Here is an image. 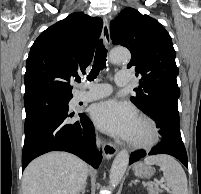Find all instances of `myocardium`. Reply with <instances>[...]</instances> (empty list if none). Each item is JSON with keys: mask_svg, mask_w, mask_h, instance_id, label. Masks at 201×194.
<instances>
[{"mask_svg": "<svg viewBox=\"0 0 201 194\" xmlns=\"http://www.w3.org/2000/svg\"><path fill=\"white\" fill-rule=\"evenodd\" d=\"M138 121L143 124L148 131V138L143 141L130 140L129 145L133 149L148 150L154 147L159 141V130L155 122L144 115L138 117Z\"/></svg>", "mask_w": 201, "mask_h": 194, "instance_id": "1", "label": "myocardium"}]
</instances>
